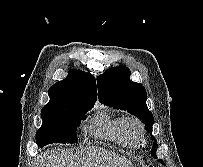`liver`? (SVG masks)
I'll return each instance as SVG.
<instances>
[{
  "label": "liver",
  "instance_id": "liver-1",
  "mask_svg": "<svg viewBox=\"0 0 203 167\" xmlns=\"http://www.w3.org/2000/svg\"><path fill=\"white\" fill-rule=\"evenodd\" d=\"M35 167H134L125 158L103 149L51 150L37 156Z\"/></svg>",
  "mask_w": 203,
  "mask_h": 167
}]
</instances>
